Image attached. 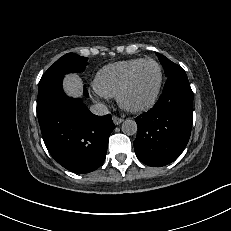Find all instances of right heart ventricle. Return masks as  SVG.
<instances>
[{
  "label": "right heart ventricle",
  "instance_id": "e07e8e85",
  "mask_svg": "<svg viewBox=\"0 0 231 231\" xmlns=\"http://www.w3.org/2000/svg\"><path fill=\"white\" fill-rule=\"evenodd\" d=\"M143 58L118 61L104 66L94 78V88L103 97H115L118 94L131 69Z\"/></svg>",
  "mask_w": 231,
  "mask_h": 231
}]
</instances>
